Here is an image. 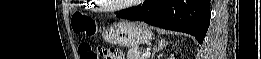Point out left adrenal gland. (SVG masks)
Here are the masks:
<instances>
[{"instance_id":"obj_1","label":"left adrenal gland","mask_w":261,"mask_h":59,"mask_svg":"<svg viewBox=\"0 0 261 59\" xmlns=\"http://www.w3.org/2000/svg\"><path fill=\"white\" fill-rule=\"evenodd\" d=\"M167 44H168V43H166L165 40H160V41L158 42V46H156V47L153 49V53H152V55H151V59L154 58L155 54H156L159 50H161V49H163L164 47H166Z\"/></svg>"}]
</instances>
